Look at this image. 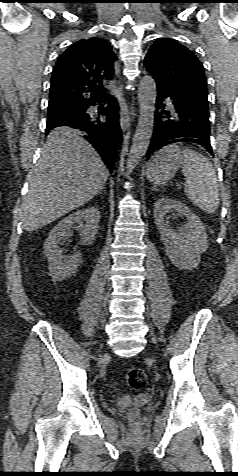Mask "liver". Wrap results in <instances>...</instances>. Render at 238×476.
I'll use <instances>...</instances> for the list:
<instances>
[{
    "mask_svg": "<svg viewBox=\"0 0 238 476\" xmlns=\"http://www.w3.org/2000/svg\"><path fill=\"white\" fill-rule=\"evenodd\" d=\"M108 175L99 154L76 130L52 131L28 175L24 229L37 230L84 205L102 190Z\"/></svg>",
    "mask_w": 238,
    "mask_h": 476,
    "instance_id": "obj_1",
    "label": "liver"
}]
</instances>
